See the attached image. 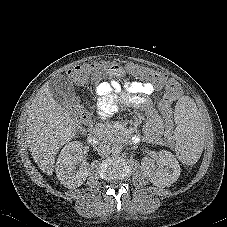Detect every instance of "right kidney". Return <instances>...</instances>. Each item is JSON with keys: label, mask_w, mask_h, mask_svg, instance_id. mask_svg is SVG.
<instances>
[{"label": "right kidney", "mask_w": 227, "mask_h": 227, "mask_svg": "<svg viewBox=\"0 0 227 227\" xmlns=\"http://www.w3.org/2000/svg\"><path fill=\"white\" fill-rule=\"evenodd\" d=\"M82 149L83 144L80 141H72L63 147L57 159L56 176L69 189L81 186L89 175L87 162H83L78 169L75 167Z\"/></svg>", "instance_id": "ca27d5eb"}]
</instances>
